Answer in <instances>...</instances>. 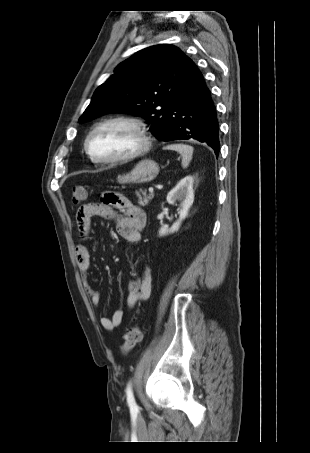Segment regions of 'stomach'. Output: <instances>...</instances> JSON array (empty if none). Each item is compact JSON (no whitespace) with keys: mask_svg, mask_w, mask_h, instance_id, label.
<instances>
[{"mask_svg":"<svg viewBox=\"0 0 310 453\" xmlns=\"http://www.w3.org/2000/svg\"><path fill=\"white\" fill-rule=\"evenodd\" d=\"M159 173V165L150 159L141 160L129 173L119 175L120 184H143L151 182Z\"/></svg>","mask_w":310,"mask_h":453,"instance_id":"obj_1","label":"stomach"}]
</instances>
